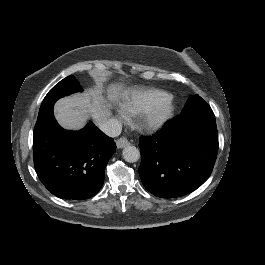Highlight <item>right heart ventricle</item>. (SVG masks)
Wrapping results in <instances>:
<instances>
[{
	"label": "right heart ventricle",
	"instance_id": "1",
	"mask_svg": "<svg viewBox=\"0 0 265 265\" xmlns=\"http://www.w3.org/2000/svg\"><path fill=\"white\" fill-rule=\"evenodd\" d=\"M157 92H159V90H141L130 98H126L123 101H116L119 112L116 125L121 126L122 120H127L129 117L142 112Z\"/></svg>",
	"mask_w": 265,
	"mask_h": 265
}]
</instances>
